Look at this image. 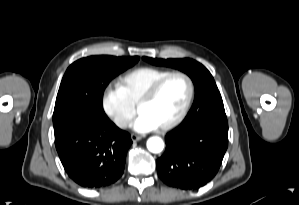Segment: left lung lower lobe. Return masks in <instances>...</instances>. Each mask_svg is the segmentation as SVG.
I'll return each instance as SVG.
<instances>
[{
	"label": "left lung lower lobe",
	"instance_id": "obj_1",
	"mask_svg": "<svg viewBox=\"0 0 299 205\" xmlns=\"http://www.w3.org/2000/svg\"><path fill=\"white\" fill-rule=\"evenodd\" d=\"M166 150L157 159L160 179L170 187L192 190L216 175L228 147L224 109L184 121L165 138Z\"/></svg>",
	"mask_w": 299,
	"mask_h": 205
}]
</instances>
